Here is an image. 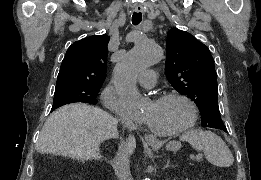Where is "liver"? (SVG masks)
<instances>
[{"mask_svg": "<svg viewBox=\"0 0 261 180\" xmlns=\"http://www.w3.org/2000/svg\"><path fill=\"white\" fill-rule=\"evenodd\" d=\"M118 120L87 104H69L49 116L39 136L38 152L67 156L72 160H101L100 146L105 140L119 138ZM120 148L134 154V136L120 138Z\"/></svg>", "mask_w": 261, "mask_h": 180, "instance_id": "6515ba94", "label": "liver"}]
</instances>
